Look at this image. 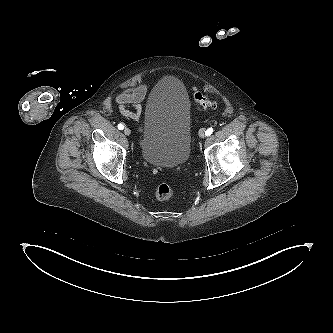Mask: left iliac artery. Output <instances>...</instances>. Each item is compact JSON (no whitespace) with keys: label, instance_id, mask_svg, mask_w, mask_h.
Returning <instances> with one entry per match:
<instances>
[{"label":"left iliac artery","instance_id":"1","mask_svg":"<svg viewBox=\"0 0 333 333\" xmlns=\"http://www.w3.org/2000/svg\"><path fill=\"white\" fill-rule=\"evenodd\" d=\"M213 133V128H208L205 132L206 136H210Z\"/></svg>","mask_w":333,"mask_h":333}]
</instances>
